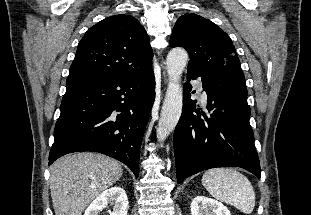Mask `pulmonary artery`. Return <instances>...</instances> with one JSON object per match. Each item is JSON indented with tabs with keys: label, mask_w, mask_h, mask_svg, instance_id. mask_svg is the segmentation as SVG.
Segmentation results:
<instances>
[{
	"label": "pulmonary artery",
	"mask_w": 311,
	"mask_h": 215,
	"mask_svg": "<svg viewBox=\"0 0 311 215\" xmlns=\"http://www.w3.org/2000/svg\"><path fill=\"white\" fill-rule=\"evenodd\" d=\"M196 88H197V91L199 92L200 96L202 97V99L205 100L207 98V94H206L205 90L203 89L202 84L197 83Z\"/></svg>",
	"instance_id": "pulmonary-artery-1"
}]
</instances>
